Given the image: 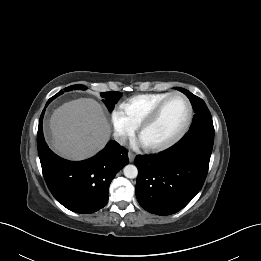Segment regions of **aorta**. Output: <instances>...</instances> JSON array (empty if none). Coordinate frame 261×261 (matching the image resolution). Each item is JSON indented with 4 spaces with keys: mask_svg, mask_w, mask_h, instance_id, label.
<instances>
[{
    "mask_svg": "<svg viewBox=\"0 0 261 261\" xmlns=\"http://www.w3.org/2000/svg\"><path fill=\"white\" fill-rule=\"evenodd\" d=\"M123 173H124L125 177H127L129 179H134L138 175V169L135 165L129 164L124 167Z\"/></svg>",
    "mask_w": 261,
    "mask_h": 261,
    "instance_id": "1",
    "label": "aorta"
}]
</instances>
